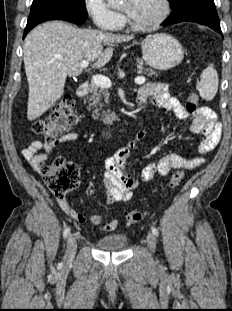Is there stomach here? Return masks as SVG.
<instances>
[{"label":"stomach","instance_id":"1","mask_svg":"<svg viewBox=\"0 0 232 311\" xmlns=\"http://www.w3.org/2000/svg\"><path fill=\"white\" fill-rule=\"evenodd\" d=\"M140 45L145 63L157 70L171 69L177 66L184 57L182 45L169 34L149 35Z\"/></svg>","mask_w":232,"mask_h":311}]
</instances>
